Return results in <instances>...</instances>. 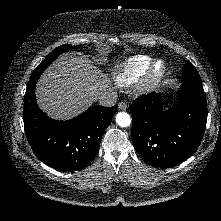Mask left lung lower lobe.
Returning a JSON list of instances; mask_svg holds the SVG:
<instances>
[{"label":"left lung lower lobe","mask_w":221,"mask_h":221,"mask_svg":"<svg viewBox=\"0 0 221 221\" xmlns=\"http://www.w3.org/2000/svg\"><path fill=\"white\" fill-rule=\"evenodd\" d=\"M162 101L161 94L149 93L130 107L134 148L153 167H169L193 155L207 121L204 90L181 87L168 110Z\"/></svg>","instance_id":"left-lung-lower-lobe-1"}]
</instances>
